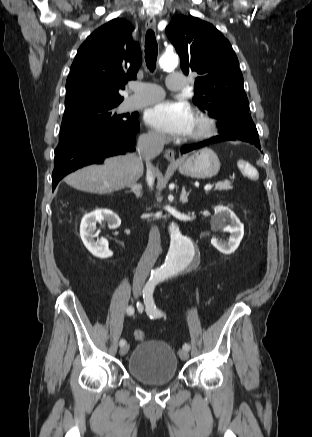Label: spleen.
I'll use <instances>...</instances> for the list:
<instances>
[{
	"label": "spleen",
	"instance_id": "3e777b00",
	"mask_svg": "<svg viewBox=\"0 0 312 437\" xmlns=\"http://www.w3.org/2000/svg\"><path fill=\"white\" fill-rule=\"evenodd\" d=\"M238 168L245 172L246 174L250 175L252 178H257V173L253 172L250 165L248 163H246L243 160H239L237 163Z\"/></svg>",
	"mask_w": 312,
	"mask_h": 437
}]
</instances>
